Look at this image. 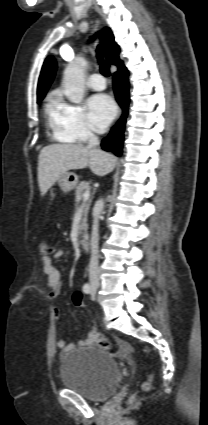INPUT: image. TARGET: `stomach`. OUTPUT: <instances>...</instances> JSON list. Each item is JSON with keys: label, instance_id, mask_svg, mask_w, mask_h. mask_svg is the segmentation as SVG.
Listing matches in <instances>:
<instances>
[{"label": "stomach", "instance_id": "1", "mask_svg": "<svg viewBox=\"0 0 208 425\" xmlns=\"http://www.w3.org/2000/svg\"><path fill=\"white\" fill-rule=\"evenodd\" d=\"M78 183V176L73 172H67L58 179L61 190L65 193L72 191Z\"/></svg>", "mask_w": 208, "mask_h": 425}]
</instances>
